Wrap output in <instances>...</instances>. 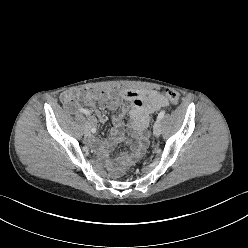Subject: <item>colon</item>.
Instances as JSON below:
<instances>
[{
    "label": "colon",
    "mask_w": 248,
    "mask_h": 248,
    "mask_svg": "<svg viewBox=\"0 0 248 248\" xmlns=\"http://www.w3.org/2000/svg\"><path fill=\"white\" fill-rule=\"evenodd\" d=\"M167 101H169L172 105L176 106L179 103V95L177 92L173 90H166L163 94Z\"/></svg>",
    "instance_id": "5ec220e1"
}]
</instances>
